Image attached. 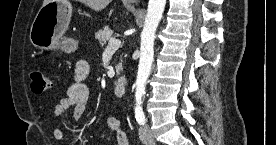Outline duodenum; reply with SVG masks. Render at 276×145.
Wrapping results in <instances>:
<instances>
[{"label":"duodenum","instance_id":"1","mask_svg":"<svg viewBox=\"0 0 276 145\" xmlns=\"http://www.w3.org/2000/svg\"><path fill=\"white\" fill-rule=\"evenodd\" d=\"M127 86H128V81L125 77L118 78L114 84L115 95L118 97H122L127 90Z\"/></svg>","mask_w":276,"mask_h":145}]
</instances>
